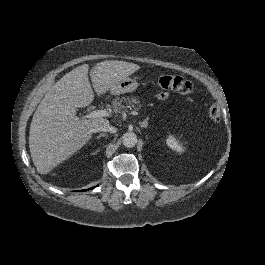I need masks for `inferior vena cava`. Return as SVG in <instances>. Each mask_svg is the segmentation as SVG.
Segmentation results:
<instances>
[{
    "label": "inferior vena cava",
    "instance_id": "inferior-vena-cava-1",
    "mask_svg": "<svg viewBox=\"0 0 265 265\" xmlns=\"http://www.w3.org/2000/svg\"><path fill=\"white\" fill-rule=\"evenodd\" d=\"M94 131L96 132H109V133H116L117 128L110 126L108 123H103L95 127Z\"/></svg>",
    "mask_w": 265,
    "mask_h": 265
}]
</instances>
